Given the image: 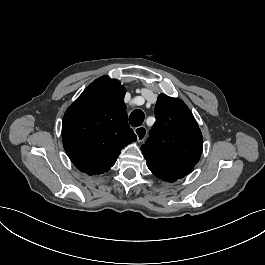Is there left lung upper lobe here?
<instances>
[{
    "instance_id": "5c2ea615",
    "label": "left lung upper lobe",
    "mask_w": 265,
    "mask_h": 265,
    "mask_svg": "<svg viewBox=\"0 0 265 265\" xmlns=\"http://www.w3.org/2000/svg\"><path fill=\"white\" fill-rule=\"evenodd\" d=\"M156 122L141 151L150 171L174 182L191 173L202 153V134L183 101L160 94L155 106Z\"/></svg>"
}]
</instances>
